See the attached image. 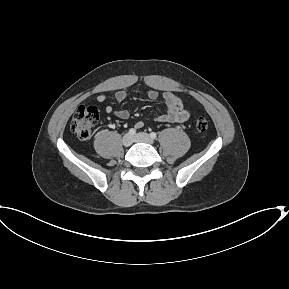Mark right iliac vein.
Here are the masks:
<instances>
[{
	"label": "right iliac vein",
	"instance_id": "obj_1",
	"mask_svg": "<svg viewBox=\"0 0 289 289\" xmlns=\"http://www.w3.org/2000/svg\"><path fill=\"white\" fill-rule=\"evenodd\" d=\"M133 143V137L130 134H125L122 138V144L125 147H129Z\"/></svg>",
	"mask_w": 289,
	"mask_h": 289
}]
</instances>
